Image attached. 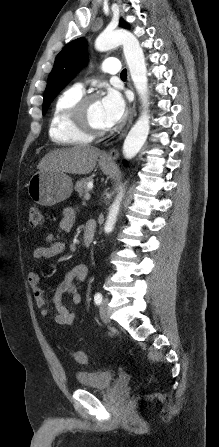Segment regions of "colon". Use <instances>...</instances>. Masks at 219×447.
<instances>
[{
    "mask_svg": "<svg viewBox=\"0 0 219 447\" xmlns=\"http://www.w3.org/2000/svg\"><path fill=\"white\" fill-rule=\"evenodd\" d=\"M42 223V213L38 206L32 205L29 208V225L38 227ZM73 357L79 364L88 363V355L84 351H74Z\"/></svg>",
    "mask_w": 219,
    "mask_h": 447,
    "instance_id": "colon-1",
    "label": "colon"
}]
</instances>
